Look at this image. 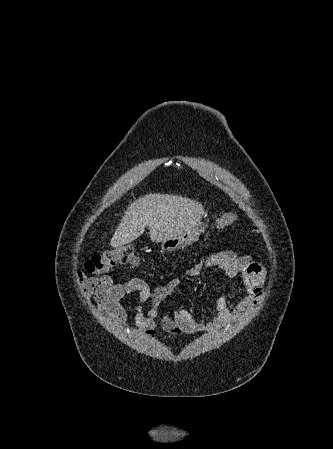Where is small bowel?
I'll list each match as a JSON object with an SVG mask.
<instances>
[{
  "instance_id": "c3829d8e",
  "label": "small bowel",
  "mask_w": 333,
  "mask_h": 449,
  "mask_svg": "<svg viewBox=\"0 0 333 449\" xmlns=\"http://www.w3.org/2000/svg\"><path fill=\"white\" fill-rule=\"evenodd\" d=\"M216 267L229 278L239 276L245 288V294L236 302L231 311L227 306V296L222 293L215 303L213 320L204 325L196 321L185 309H177L172 314H161L162 301L170 297L181 283L180 277L172 278L167 284L151 289L139 278L116 283L109 275L88 277L82 271L77 273L79 287L86 299H93L101 313L108 314L119 324L127 321V312L121 301L128 296L136 295L135 325L146 335H153L155 328H161L173 337L183 334L193 335L203 331L224 327L238 321L250 309L257 305L263 293L266 272L264 268L246 255H236L231 251H221L208 256L204 261L196 263L185 272L186 276H197L201 269ZM148 309L145 311V305Z\"/></svg>"
}]
</instances>
